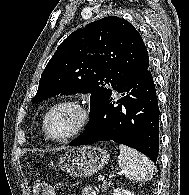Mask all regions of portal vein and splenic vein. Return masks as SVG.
Segmentation results:
<instances>
[{
	"mask_svg": "<svg viewBox=\"0 0 189 195\" xmlns=\"http://www.w3.org/2000/svg\"><path fill=\"white\" fill-rule=\"evenodd\" d=\"M123 172H120V174H122ZM98 180L99 181H102L103 182V184H106V181L104 180V176H99L98 177Z\"/></svg>",
	"mask_w": 189,
	"mask_h": 195,
	"instance_id": "portal-vein-and-splenic-vein-1",
	"label": "portal vein and splenic vein"
}]
</instances>
